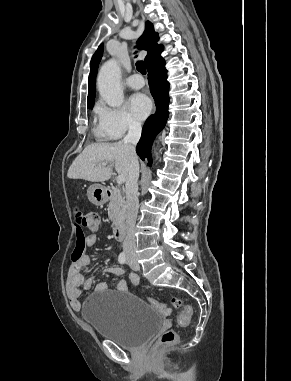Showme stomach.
<instances>
[{
    "instance_id": "stomach-1",
    "label": "stomach",
    "mask_w": 291,
    "mask_h": 381,
    "mask_svg": "<svg viewBox=\"0 0 291 381\" xmlns=\"http://www.w3.org/2000/svg\"><path fill=\"white\" fill-rule=\"evenodd\" d=\"M87 196L89 201L95 205H102L107 201L104 188L97 184L91 185L88 188Z\"/></svg>"
}]
</instances>
